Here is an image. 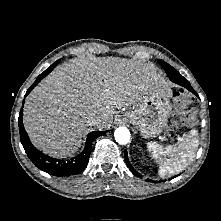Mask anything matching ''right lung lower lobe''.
<instances>
[{"label":"right lung lower lobe","instance_id":"98d812e1","mask_svg":"<svg viewBox=\"0 0 221 221\" xmlns=\"http://www.w3.org/2000/svg\"><path fill=\"white\" fill-rule=\"evenodd\" d=\"M53 68H48L43 73H41L32 86L27 90L25 97L31 92V90L46 76ZM24 103V101H23ZM23 110H20L18 125L20 132V140L24 147V150L29 157V159L34 163L36 167L44 172H47L55 176H67L73 175L81 172L85 169L88 164L89 156L91 152L92 142L99 136L105 134L107 131L91 132L87 136L86 145L84 150L77 156L69 160H59L56 158L49 157L43 154L41 151L37 150L31 143L22 121Z\"/></svg>","mask_w":221,"mask_h":221}]
</instances>
